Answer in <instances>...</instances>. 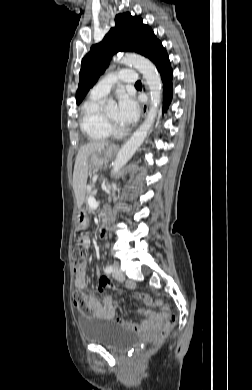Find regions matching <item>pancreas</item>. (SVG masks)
Wrapping results in <instances>:
<instances>
[{
  "label": "pancreas",
  "mask_w": 252,
  "mask_h": 390,
  "mask_svg": "<svg viewBox=\"0 0 252 390\" xmlns=\"http://www.w3.org/2000/svg\"><path fill=\"white\" fill-rule=\"evenodd\" d=\"M88 198V197H87ZM83 205L86 206L84 207V210H88L89 213H93L94 212V209L89 207L90 205V202L89 201H84L83 202Z\"/></svg>",
  "instance_id": "cf45deb5"
}]
</instances>
